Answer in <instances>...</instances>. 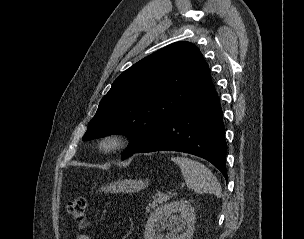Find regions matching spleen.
<instances>
[{
	"label": "spleen",
	"instance_id": "obj_1",
	"mask_svg": "<svg viewBox=\"0 0 304 239\" xmlns=\"http://www.w3.org/2000/svg\"><path fill=\"white\" fill-rule=\"evenodd\" d=\"M171 160L179 165L188 188L199 194L209 193L217 197L222 195L217 178L206 166L185 157H173Z\"/></svg>",
	"mask_w": 304,
	"mask_h": 239
}]
</instances>
